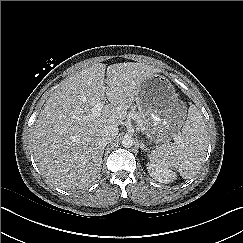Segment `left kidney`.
I'll return each instance as SVG.
<instances>
[{
    "label": "left kidney",
    "instance_id": "left-kidney-1",
    "mask_svg": "<svg viewBox=\"0 0 243 243\" xmlns=\"http://www.w3.org/2000/svg\"><path fill=\"white\" fill-rule=\"evenodd\" d=\"M147 170L153 179L161 183H169L176 179V174L174 172H172L168 168L157 166L154 163L148 164Z\"/></svg>",
    "mask_w": 243,
    "mask_h": 243
}]
</instances>
